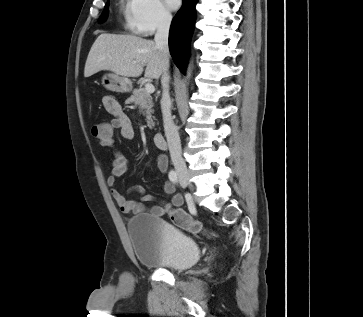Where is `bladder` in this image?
<instances>
[{"label":"bladder","instance_id":"obj_1","mask_svg":"<svg viewBox=\"0 0 363 317\" xmlns=\"http://www.w3.org/2000/svg\"><path fill=\"white\" fill-rule=\"evenodd\" d=\"M127 233L140 265L183 271L201 256L198 242L164 219L137 214L127 224Z\"/></svg>","mask_w":363,"mask_h":317}]
</instances>
